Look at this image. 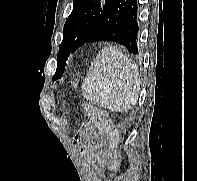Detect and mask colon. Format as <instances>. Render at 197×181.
Wrapping results in <instances>:
<instances>
[{
	"instance_id": "5ec220e1",
	"label": "colon",
	"mask_w": 197,
	"mask_h": 181,
	"mask_svg": "<svg viewBox=\"0 0 197 181\" xmlns=\"http://www.w3.org/2000/svg\"><path fill=\"white\" fill-rule=\"evenodd\" d=\"M83 111L87 121L93 124L101 134L106 136L112 146H115L119 140V131L111 124L107 113L103 109L89 104L83 105ZM116 165V156H113L110 160V168L115 169Z\"/></svg>"
}]
</instances>
